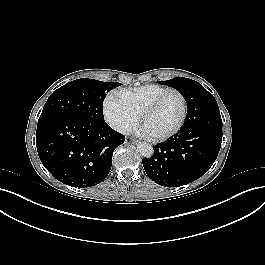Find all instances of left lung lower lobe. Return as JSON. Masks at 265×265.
<instances>
[{"mask_svg": "<svg viewBox=\"0 0 265 265\" xmlns=\"http://www.w3.org/2000/svg\"><path fill=\"white\" fill-rule=\"evenodd\" d=\"M187 119L168 142L143 158L146 174L155 183L180 187L203 176L216 160L222 142V119L214 96L204 87L192 93Z\"/></svg>", "mask_w": 265, "mask_h": 265, "instance_id": "0a47b994", "label": "left lung lower lobe"}]
</instances>
